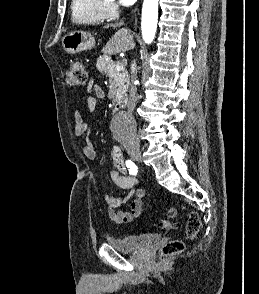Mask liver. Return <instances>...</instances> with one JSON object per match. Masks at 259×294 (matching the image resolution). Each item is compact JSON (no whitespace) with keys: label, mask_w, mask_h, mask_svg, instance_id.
I'll return each mask as SVG.
<instances>
[{"label":"liver","mask_w":259,"mask_h":294,"mask_svg":"<svg viewBox=\"0 0 259 294\" xmlns=\"http://www.w3.org/2000/svg\"><path fill=\"white\" fill-rule=\"evenodd\" d=\"M134 46L135 43L133 41V36L127 29L123 28L118 30L109 39L102 51L107 54L115 55L117 53L126 52L130 49H133Z\"/></svg>","instance_id":"1"}]
</instances>
